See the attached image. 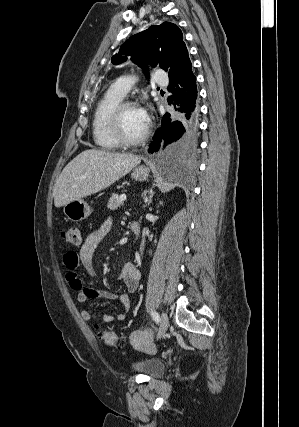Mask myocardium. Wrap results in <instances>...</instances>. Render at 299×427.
Segmentation results:
<instances>
[{
	"label": "myocardium",
	"mask_w": 299,
	"mask_h": 427,
	"mask_svg": "<svg viewBox=\"0 0 299 427\" xmlns=\"http://www.w3.org/2000/svg\"><path fill=\"white\" fill-rule=\"evenodd\" d=\"M128 107L137 108V106L134 102L128 101V100H125V101L122 100L120 103H118L114 107V109L112 110V112L109 116V131H110L112 138L114 139V141L118 145L125 146V147H131V146L139 145L142 142H144L149 135V127L148 126H146L145 131L140 136H138L137 138H134V139L127 138L123 134L122 125H121V118H122L123 111Z\"/></svg>",
	"instance_id": "obj_1"
}]
</instances>
